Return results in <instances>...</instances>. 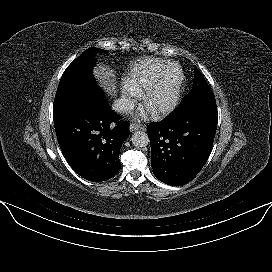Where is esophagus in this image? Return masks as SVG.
Returning a JSON list of instances; mask_svg holds the SVG:
<instances>
[{
	"mask_svg": "<svg viewBox=\"0 0 272 272\" xmlns=\"http://www.w3.org/2000/svg\"><path fill=\"white\" fill-rule=\"evenodd\" d=\"M140 129H144V126L138 123H131L130 124V131H136V130H140Z\"/></svg>",
	"mask_w": 272,
	"mask_h": 272,
	"instance_id": "esophagus-1",
	"label": "esophagus"
}]
</instances>
